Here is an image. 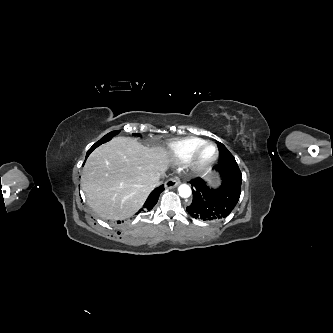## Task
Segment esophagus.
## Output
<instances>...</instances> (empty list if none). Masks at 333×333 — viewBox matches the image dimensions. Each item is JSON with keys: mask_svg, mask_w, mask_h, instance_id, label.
I'll return each mask as SVG.
<instances>
[{"mask_svg": "<svg viewBox=\"0 0 333 333\" xmlns=\"http://www.w3.org/2000/svg\"><path fill=\"white\" fill-rule=\"evenodd\" d=\"M180 184V180L178 178H170L165 182V187L167 189L175 188Z\"/></svg>", "mask_w": 333, "mask_h": 333, "instance_id": "obj_1", "label": "esophagus"}]
</instances>
